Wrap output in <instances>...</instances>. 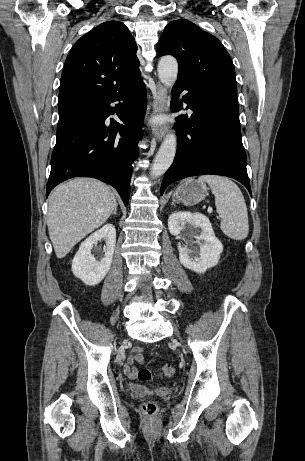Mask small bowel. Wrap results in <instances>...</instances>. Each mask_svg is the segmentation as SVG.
<instances>
[{
	"mask_svg": "<svg viewBox=\"0 0 305 461\" xmlns=\"http://www.w3.org/2000/svg\"><path fill=\"white\" fill-rule=\"evenodd\" d=\"M143 349L141 347H136L133 351V355L128 359L127 363L124 365V373L129 378H136L137 369L135 363L144 364L145 359L142 355Z\"/></svg>",
	"mask_w": 305,
	"mask_h": 461,
	"instance_id": "small-bowel-1",
	"label": "small bowel"
}]
</instances>
